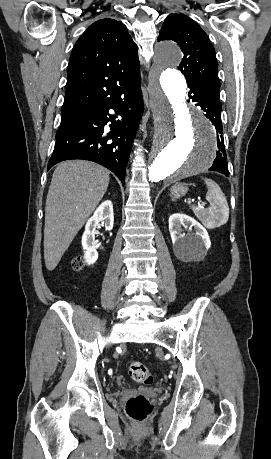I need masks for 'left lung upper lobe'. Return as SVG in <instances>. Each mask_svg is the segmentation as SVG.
Here are the masks:
<instances>
[{
    "label": "left lung upper lobe",
    "mask_w": 271,
    "mask_h": 459,
    "mask_svg": "<svg viewBox=\"0 0 271 459\" xmlns=\"http://www.w3.org/2000/svg\"><path fill=\"white\" fill-rule=\"evenodd\" d=\"M158 40H172L182 49L184 56L178 69L185 75L188 86L209 84L220 89L214 47L207 34L191 18L176 13L168 15Z\"/></svg>",
    "instance_id": "1"
}]
</instances>
